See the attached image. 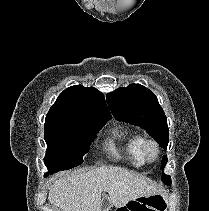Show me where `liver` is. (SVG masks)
Here are the masks:
<instances>
[{"label": "liver", "instance_id": "1", "mask_svg": "<svg viewBox=\"0 0 209 211\" xmlns=\"http://www.w3.org/2000/svg\"><path fill=\"white\" fill-rule=\"evenodd\" d=\"M49 202L61 211H102L101 193L116 208L158 192L147 180L126 169L102 166L86 172H62L50 179Z\"/></svg>", "mask_w": 209, "mask_h": 211}]
</instances>
